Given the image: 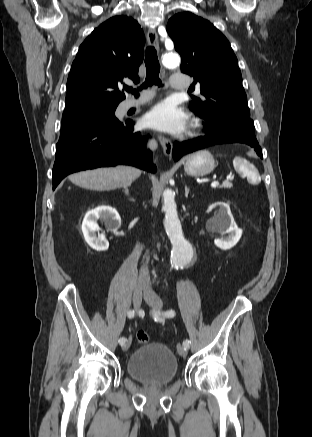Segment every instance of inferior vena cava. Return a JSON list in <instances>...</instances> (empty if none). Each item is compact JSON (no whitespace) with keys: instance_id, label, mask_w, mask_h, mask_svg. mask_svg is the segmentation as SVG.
<instances>
[{"instance_id":"inferior-vena-cava-1","label":"inferior vena cava","mask_w":312,"mask_h":437,"mask_svg":"<svg viewBox=\"0 0 312 437\" xmlns=\"http://www.w3.org/2000/svg\"><path fill=\"white\" fill-rule=\"evenodd\" d=\"M148 146H149L151 149H155L156 146H157V144H156V142H155L154 140H151V141L149 142ZM141 273H142V274L147 273V265H146V264H144V265L142 266V268H141Z\"/></svg>"}]
</instances>
